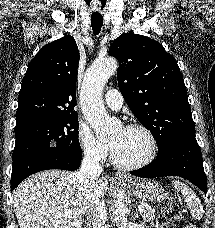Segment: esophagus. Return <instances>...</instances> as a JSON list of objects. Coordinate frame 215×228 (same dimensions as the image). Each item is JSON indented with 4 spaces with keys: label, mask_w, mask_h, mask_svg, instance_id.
I'll return each mask as SVG.
<instances>
[{
    "label": "esophagus",
    "mask_w": 215,
    "mask_h": 228,
    "mask_svg": "<svg viewBox=\"0 0 215 228\" xmlns=\"http://www.w3.org/2000/svg\"><path fill=\"white\" fill-rule=\"evenodd\" d=\"M120 176H123V174L119 172L115 173V177H120Z\"/></svg>",
    "instance_id": "1"
}]
</instances>
